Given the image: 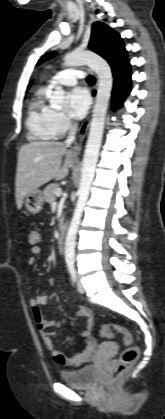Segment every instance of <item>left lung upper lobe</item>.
Returning <instances> with one entry per match:
<instances>
[{"label":"left lung upper lobe","instance_id":"left-lung-upper-lobe-1","mask_svg":"<svg viewBox=\"0 0 165 419\" xmlns=\"http://www.w3.org/2000/svg\"><path fill=\"white\" fill-rule=\"evenodd\" d=\"M89 48L106 59L109 64H112L121 53L126 51L120 35L101 22L93 24ZM55 54V52L45 54L38 63H42Z\"/></svg>","mask_w":165,"mask_h":419}]
</instances>
